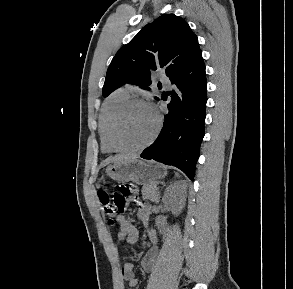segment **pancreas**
<instances>
[{"mask_svg":"<svg viewBox=\"0 0 293 289\" xmlns=\"http://www.w3.org/2000/svg\"><path fill=\"white\" fill-rule=\"evenodd\" d=\"M142 197L144 200H150L151 202L159 201V192L156 184H145L142 188Z\"/></svg>","mask_w":293,"mask_h":289,"instance_id":"1","label":"pancreas"}]
</instances>
